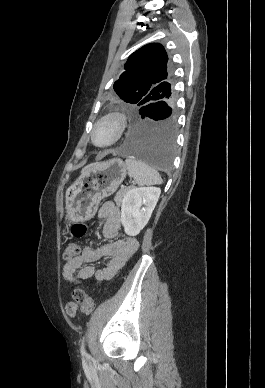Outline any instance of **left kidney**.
<instances>
[{
  "mask_svg": "<svg viewBox=\"0 0 265 388\" xmlns=\"http://www.w3.org/2000/svg\"><path fill=\"white\" fill-rule=\"evenodd\" d=\"M160 194V188H130L125 194L122 200L121 222L127 236H137L145 228Z\"/></svg>",
  "mask_w": 265,
  "mask_h": 388,
  "instance_id": "left-kidney-1",
  "label": "left kidney"
}]
</instances>
